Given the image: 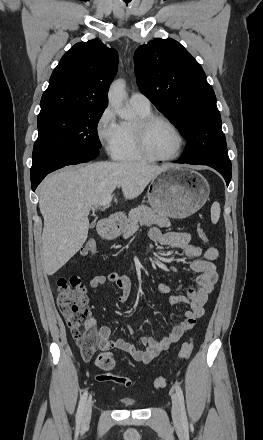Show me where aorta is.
<instances>
[{"mask_svg":"<svg viewBox=\"0 0 263 440\" xmlns=\"http://www.w3.org/2000/svg\"><path fill=\"white\" fill-rule=\"evenodd\" d=\"M127 98L126 83L123 79L114 81L108 91L109 104L115 109L118 116L125 120L131 121L135 114L130 109L124 106V101Z\"/></svg>","mask_w":263,"mask_h":440,"instance_id":"aorta-1","label":"aorta"}]
</instances>
